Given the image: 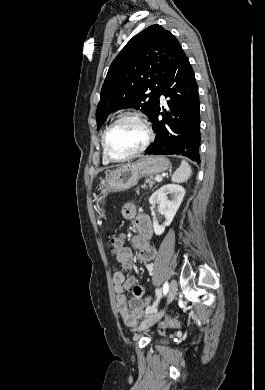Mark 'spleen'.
Instances as JSON below:
<instances>
[{"instance_id":"obj_1","label":"spleen","mask_w":265,"mask_h":390,"mask_svg":"<svg viewBox=\"0 0 265 390\" xmlns=\"http://www.w3.org/2000/svg\"><path fill=\"white\" fill-rule=\"evenodd\" d=\"M192 174V169L186 161H182L180 167L173 173L171 180L173 182H186Z\"/></svg>"}]
</instances>
